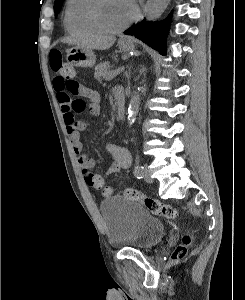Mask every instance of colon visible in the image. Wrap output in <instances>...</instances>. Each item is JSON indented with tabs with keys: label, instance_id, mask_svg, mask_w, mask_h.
<instances>
[{
	"label": "colon",
	"instance_id": "colon-1",
	"mask_svg": "<svg viewBox=\"0 0 245 300\" xmlns=\"http://www.w3.org/2000/svg\"><path fill=\"white\" fill-rule=\"evenodd\" d=\"M50 67L57 76L67 83V87L70 91H73L76 86V82L73 80L75 75L74 68L63 61V57L60 51L53 50L50 53ZM86 106V103L82 99H75L73 101V108L77 111H82ZM88 185L96 190H101L104 195L113 194V190L105 186L104 181L98 175H90L88 178ZM122 195L132 201H138L142 203L152 214L163 216L168 219H174L178 216L177 210L171 205L165 204L157 199H153L146 196L142 192L127 188L124 189ZM192 237L190 234H185L183 237V244L179 246L173 255L174 259L182 258L187 253V245L190 244Z\"/></svg>",
	"mask_w": 245,
	"mask_h": 300
}]
</instances>
